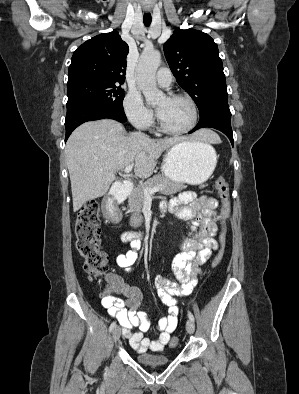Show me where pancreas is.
<instances>
[{"instance_id": "cf45deb5", "label": "pancreas", "mask_w": 299, "mask_h": 394, "mask_svg": "<svg viewBox=\"0 0 299 394\" xmlns=\"http://www.w3.org/2000/svg\"><path fill=\"white\" fill-rule=\"evenodd\" d=\"M146 187H160V193L164 195H172L185 188L183 184H175L170 179L161 174L155 175L153 178L141 183L133 190L129 197V208L132 213L131 224L134 227L140 226L143 222L141 209L145 199L144 189Z\"/></svg>"}]
</instances>
